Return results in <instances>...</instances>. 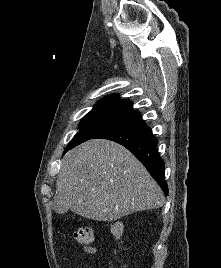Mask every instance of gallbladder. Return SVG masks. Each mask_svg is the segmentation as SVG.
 Returning a JSON list of instances; mask_svg holds the SVG:
<instances>
[{
	"instance_id": "gallbladder-1",
	"label": "gallbladder",
	"mask_w": 221,
	"mask_h": 268,
	"mask_svg": "<svg viewBox=\"0 0 221 268\" xmlns=\"http://www.w3.org/2000/svg\"><path fill=\"white\" fill-rule=\"evenodd\" d=\"M52 209L57 210V213H64L66 209V199H59V202H55Z\"/></svg>"
}]
</instances>
